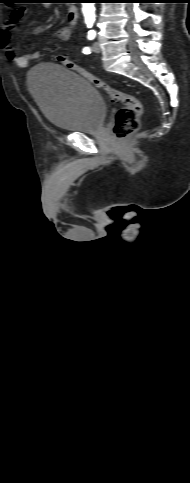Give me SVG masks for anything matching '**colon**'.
I'll return each instance as SVG.
<instances>
[{
  "label": "colon",
  "mask_w": 190,
  "mask_h": 483,
  "mask_svg": "<svg viewBox=\"0 0 190 483\" xmlns=\"http://www.w3.org/2000/svg\"><path fill=\"white\" fill-rule=\"evenodd\" d=\"M56 61L66 68L82 75L92 85L102 90L110 98L111 102L122 103L124 105L117 112L113 125V133L117 139H123L138 130L139 120L143 113V105L136 96L113 88L110 84L70 60L65 54H57Z\"/></svg>",
  "instance_id": "5ec220e1"
}]
</instances>
